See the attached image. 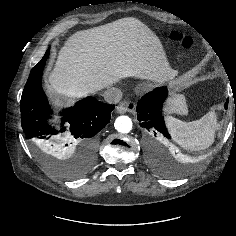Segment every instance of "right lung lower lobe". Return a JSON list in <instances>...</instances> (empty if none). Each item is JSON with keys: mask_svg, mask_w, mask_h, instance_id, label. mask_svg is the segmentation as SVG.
I'll return each mask as SVG.
<instances>
[{"mask_svg": "<svg viewBox=\"0 0 236 236\" xmlns=\"http://www.w3.org/2000/svg\"><path fill=\"white\" fill-rule=\"evenodd\" d=\"M48 57L49 49L32 68L25 84L20 105L23 131L31 143L42 146L48 152L70 154L74 151L83 160H91L97 147L96 134L108 124L114 105L90 96L60 112L59 130L49 125L52 110L41 85Z\"/></svg>", "mask_w": 236, "mask_h": 236, "instance_id": "obj_1", "label": "right lung lower lobe"}]
</instances>
